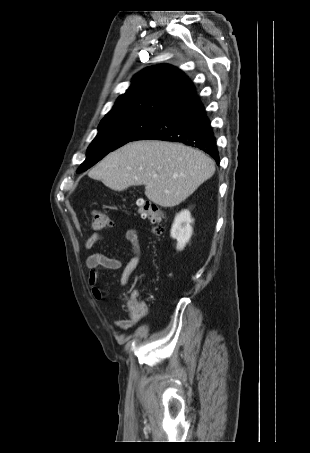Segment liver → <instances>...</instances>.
<instances>
[{"label":"liver","mask_w":310,"mask_h":453,"mask_svg":"<svg viewBox=\"0 0 310 453\" xmlns=\"http://www.w3.org/2000/svg\"><path fill=\"white\" fill-rule=\"evenodd\" d=\"M215 162L198 149L158 140L130 142L90 170L115 191L145 185V195L162 207H174L213 176Z\"/></svg>","instance_id":"obj_1"}]
</instances>
